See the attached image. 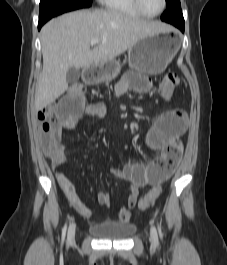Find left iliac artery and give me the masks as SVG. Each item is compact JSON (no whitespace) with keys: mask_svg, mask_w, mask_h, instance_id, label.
Instances as JSON below:
<instances>
[{"mask_svg":"<svg viewBox=\"0 0 227 265\" xmlns=\"http://www.w3.org/2000/svg\"><path fill=\"white\" fill-rule=\"evenodd\" d=\"M158 232H159V236L162 238L163 237V234H162V231H161V228H160L159 225H158Z\"/></svg>","mask_w":227,"mask_h":265,"instance_id":"1","label":"left iliac artery"}]
</instances>
